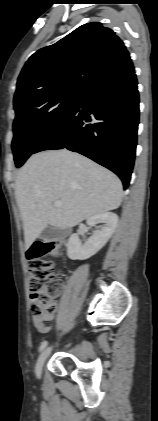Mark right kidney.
<instances>
[{"label":"right kidney","mask_w":158,"mask_h":421,"mask_svg":"<svg viewBox=\"0 0 158 421\" xmlns=\"http://www.w3.org/2000/svg\"><path fill=\"white\" fill-rule=\"evenodd\" d=\"M103 224L100 230L94 232L84 245L81 244L78 234H72L67 243V254L72 260H85L96 254L114 233L118 216L112 212L94 215L87 220L88 226Z\"/></svg>","instance_id":"1"}]
</instances>
